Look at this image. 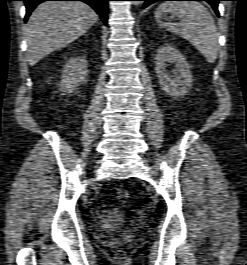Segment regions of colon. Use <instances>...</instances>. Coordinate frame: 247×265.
Listing matches in <instances>:
<instances>
[{
  "mask_svg": "<svg viewBox=\"0 0 247 265\" xmlns=\"http://www.w3.org/2000/svg\"><path fill=\"white\" fill-rule=\"evenodd\" d=\"M117 199L121 204H127L130 199L129 192L125 188H119L117 191Z\"/></svg>",
  "mask_w": 247,
  "mask_h": 265,
  "instance_id": "colon-1",
  "label": "colon"
}]
</instances>
